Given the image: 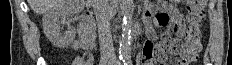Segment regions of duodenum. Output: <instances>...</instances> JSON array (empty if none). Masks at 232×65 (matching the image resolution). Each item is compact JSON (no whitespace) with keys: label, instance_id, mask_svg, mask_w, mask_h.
<instances>
[{"label":"duodenum","instance_id":"1","mask_svg":"<svg viewBox=\"0 0 232 65\" xmlns=\"http://www.w3.org/2000/svg\"><path fill=\"white\" fill-rule=\"evenodd\" d=\"M80 34L90 45L93 39V20L90 15L84 17L80 25Z\"/></svg>","mask_w":232,"mask_h":65}]
</instances>
